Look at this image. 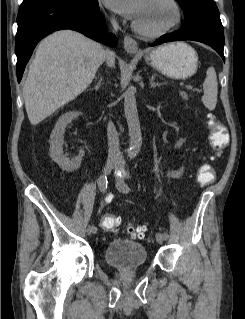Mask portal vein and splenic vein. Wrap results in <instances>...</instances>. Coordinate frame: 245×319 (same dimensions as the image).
<instances>
[{"label":"portal vein and splenic vein","mask_w":245,"mask_h":319,"mask_svg":"<svg viewBox=\"0 0 245 319\" xmlns=\"http://www.w3.org/2000/svg\"><path fill=\"white\" fill-rule=\"evenodd\" d=\"M186 89H193L191 85H186Z\"/></svg>","instance_id":"portal-vein-and-splenic-vein-1"}]
</instances>
